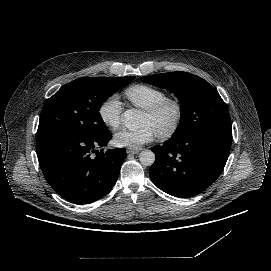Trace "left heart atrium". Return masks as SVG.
Instances as JSON below:
<instances>
[{"label":"left heart atrium","mask_w":271,"mask_h":271,"mask_svg":"<svg viewBox=\"0 0 271 271\" xmlns=\"http://www.w3.org/2000/svg\"><path fill=\"white\" fill-rule=\"evenodd\" d=\"M154 136V130L150 126L144 125L136 131L122 130L118 132L114 136V144L117 147L137 150L153 141Z\"/></svg>","instance_id":"left-heart-atrium-1"}]
</instances>
